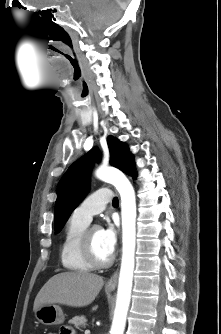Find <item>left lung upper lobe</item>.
I'll return each mask as SVG.
<instances>
[{
  "instance_id": "left-lung-upper-lobe-1",
  "label": "left lung upper lobe",
  "mask_w": 221,
  "mask_h": 334,
  "mask_svg": "<svg viewBox=\"0 0 221 334\" xmlns=\"http://www.w3.org/2000/svg\"><path fill=\"white\" fill-rule=\"evenodd\" d=\"M110 151V163L127 175L135 174V163L128 146L109 136L107 139ZM100 154L92 149L81 159L75 161L66 171L57 186L55 203V233H58L66 223L72 211L85 197L90 182V168L93 161H98Z\"/></svg>"
}]
</instances>
